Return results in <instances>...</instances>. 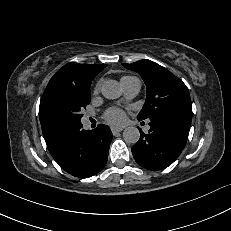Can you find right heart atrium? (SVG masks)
Returning a JSON list of instances; mask_svg holds the SVG:
<instances>
[{"instance_id":"right-heart-atrium-1","label":"right heart atrium","mask_w":231,"mask_h":231,"mask_svg":"<svg viewBox=\"0 0 231 231\" xmlns=\"http://www.w3.org/2000/svg\"><path fill=\"white\" fill-rule=\"evenodd\" d=\"M100 82H98L96 85H95V88H94V93H97L99 90H100Z\"/></svg>"}]
</instances>
